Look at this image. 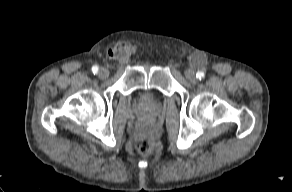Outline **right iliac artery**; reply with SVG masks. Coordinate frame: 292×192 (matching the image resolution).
<instances>
[{
  "label": "right iliac artery",
  "mask_w": 292,
  "mask_h": 192,
  "mask_svg": "<svg viewBox=\"0 0 292 192\" xmlns=\"http://www.w3.org/2000/svg\"><path fill=\"white\" fill-rule=\"evenodd\" d=\"M98 71H99L98 66H93V67H92V72H93L94 74H97Z\"/></svg>",
  "instance_id": "82829eb1"
}]
</instances>
